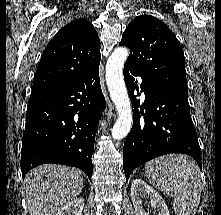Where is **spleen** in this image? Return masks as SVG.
Masks as SVG:
<instances>
[{
  "label": "spleen",
  "mask_w": 221,
  "mask_h": 215,
  "mask_svg": "<svg viewBox=\"0 0 221 215\" xmlns=\"http://www.w3.org/2000/svg\"><path fill=\"white\" fill-rule=\"evenodd\" d=\"M145 174L157 189L173 197L176 215H195L201 197V175L195 162L183 154H169L149 162Z\"/></svg>",
  "instance_id": "obj_1"
}]
</instances>
